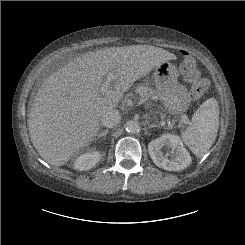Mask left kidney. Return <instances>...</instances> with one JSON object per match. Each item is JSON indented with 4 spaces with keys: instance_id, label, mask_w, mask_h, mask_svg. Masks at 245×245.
<instances>
[{
    "instance_id": "left-kidney-1",
    "label": "left kidney",
    "mask_w": 245,
    "mask_h": 245,
    "mask_svg": "<svg viewBox=\"0 0 245 245\" xmlns=\"http://www.w3.org/2000/svg\"><path fill=\"white\" fill-rule=\"evenodd\" d=\"M166 148L165 155L162 149ZM148 152L154 164L164 170L180 171L191 164L192 159L177 135L164 134L148 145Z\"/></svg>"
}]
</instances>
